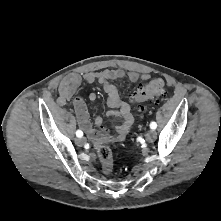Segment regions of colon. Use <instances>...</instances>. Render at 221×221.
Wrapping results in <instances>:
<instances>
[{"instance_id": "colon-1", "label": "colon", "mask_w": 221, "mask_h": 221, "mask_svg": "<svg viewBox=\"0 0 221 221\" xmlns=\"http://www.w3.org/2000/svg\"><path fill=\"white\" fill-rule=\"evenodd\" d=\"M164 81L162 79H155L148 85L139 87L132 96L133 103H140L156 96H159L164 91ZM98 157L102 164L104 173L109 174L113 169V153L108 146H100L98 149Z\"/></svg>"}]
</instances>
